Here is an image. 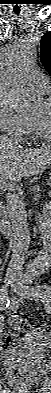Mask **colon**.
Here are the masks:
<instances>
[{"mask_svg": "<svg viewBox=\"0 0 51 393\" xmlns=\"http://www.w3.org/2000/svg\"><path fill=\"white\" fill-rule=\"evenodd\" d=\"M8 323L10 325V327L14 330H18L21 332H25L28 330L29 328V322L18 315H12L9 317ZM15 343V336L13 334H7L6 338H5V344L7 346H12Z\"/></svg>", "mask_w": 51, "mask_h": 393, "instance_id": "obj_1", "label": "colon"}]
</instances>
